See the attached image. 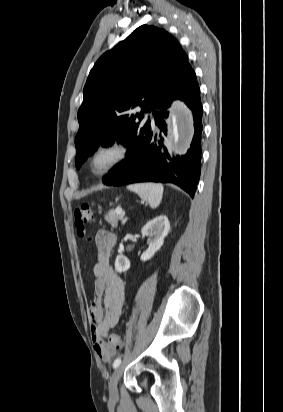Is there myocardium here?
Listing matches in <instances>:
<instances>
[{"mask_svg": "<svg viewBox=\"0 0 283 412\" xmlns=\"http://www.w3.org/2000/svg\"><path fill=\"white\" fill-rule=\"evenodd\" d=\"M111 155V160L103 167H96L95 162L101 155ZM130 155L129 146L122 140L115 139L96 146L88 156L87 166L95 176H103L122 165Z\"/></svg>", "mask_w": 283, "mask_h": 412, "instance_id": "myocardium-1", "label": "myocardium"}]
</instances>
